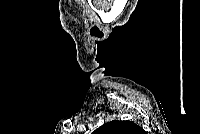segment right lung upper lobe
<instances>
[{
  "mask_svg": "<svg viewBox=\"0 0 200 134\" xmlns=\"http://www.w3.org/2000/svg\"><path fill=\"white\" fill-rule=\"evenodd\" d=\"M94 134H144L145 131L130 121H111L108 122L98 129Z\"/></svg>",
  "mask_w": 200,
  "mask_h": 134,
  "instance_id": "1",
  "label": "right lung upper lobe"
}]
</instances>
